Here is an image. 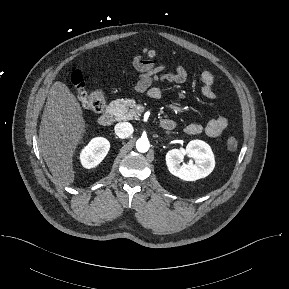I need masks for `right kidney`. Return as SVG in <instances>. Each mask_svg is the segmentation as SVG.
<instances>
[{
  "label": "right kidney",
  "mask_w": 289,
  "mask_h": 289,
  "mask_svg": "<svg viewBox=\"0 0 289 289\" xmlns=\"http://www.w3.org/2000/svg\"><path fill=\"white\" fill-rule=\"evenodd\" d=\"M110 143L106 138H93L80 153V161L83 167L90 169L97 166L107 155Z\"/></svg>",
  "instance_id": "obj_1"
}]
</instances>
